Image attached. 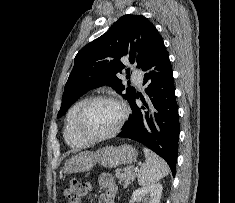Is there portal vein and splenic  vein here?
Here are the masks:
<instances>
[{"mask_svg":"<svg viewBox=\"0 0 235 203\" xmlns=\"http://www.w3.org/2000/svg\"><path fill=\"white\" fill-rule=\"evenodd\" d=\"M134 171H135V172H137V171H138V168H137V167H135V168H134Z\"/></svg>","mask_w":235,"mask_h":203,"instance_id":"portal-vein-and-splenic-vein-1","label":"portal vein and splenic vein"}]
</instances>
